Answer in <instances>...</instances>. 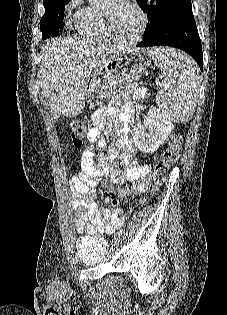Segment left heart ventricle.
I'll return each mask as SVG.
<instances>
[{
  "instance_id": "left-heart-ventricle-1",
  "label": "left heart ventricle",
  "mask_w": 227,
  "mask_h": 315,
  "mask_svg": "<svg viewBox=\"0 0 227 315\" xmlns=\"http://www.w3.org/2000/svg\"><path fill=\"white\" fill-rule=\"evenodd\" d=\"M103 7L109 9L112 26L119 36L129 39L137 34L141 18L131 5L125 2L112 3L107 0Z\"/></svg>"
}]
</instances>
